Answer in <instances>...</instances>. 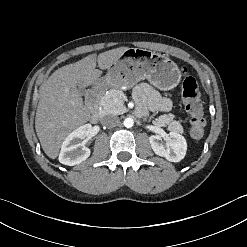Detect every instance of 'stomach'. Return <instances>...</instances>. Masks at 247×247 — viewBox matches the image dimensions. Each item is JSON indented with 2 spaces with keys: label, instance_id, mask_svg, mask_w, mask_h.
Instances as JSON below:
<instances>
[{
  "label": "stomach",
  "instance_id": "1",
  "mask_svg": "<svg viewBox=\"0 0 247 247\" xmlns=\"http://www.w3.org/2000/svg\"><path fill=\"white\" fill-rule=\"evenodd\" d=\"M177 65L164 55L141 48H129L108 68L102 82L108 87L128 90L148 79L161 90H171L180 81Z\"/></svg>",
  "mask_w": 247,
  "mask_h": 247
}]
</instances>
